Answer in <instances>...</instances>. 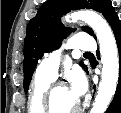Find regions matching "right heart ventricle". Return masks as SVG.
<instances>
[{"label":"right heart ventricle","instance_id":"1","mask_svg":"<svg viewBox=\"0 0 121 113\" xmlns=\"http://www.w3.org/2000/svg\"><path fill=\"white\" fill-rule=\"evenodd\" d=\"M53 79L36 73L31 95H30V100H29V109L37 110V109H42L46 110V105H45V91L47 87L50 85Z\"/></svg>","mask_w":121,"mask_h":113}]
</instances>
